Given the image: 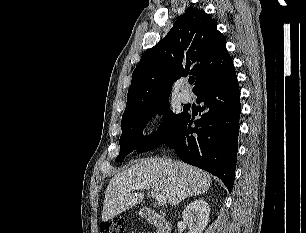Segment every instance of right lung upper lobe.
I'll return each instance as SVG.
<instances>
[{
  "label": "right lung upper lobe",
  "mask_w": 306,
  "mask_h": 233,
  "mask_svg": "<svg viewBox=\"0 0 306 233\" xmlns=\"http://www.w3.org/2000/svg\"><path fill=\"white\" fill-rule=\"evenodd\" d=\"M216 26L204 10L188 8L169 33L142 55L132 74L123 116L168 100L172 83L188 73L196 77L193 92L198 96L234 70L226 39Z\"/></svg>",
  "instance_id": "1"
}]
</instances>
